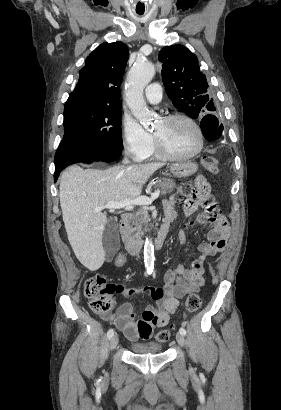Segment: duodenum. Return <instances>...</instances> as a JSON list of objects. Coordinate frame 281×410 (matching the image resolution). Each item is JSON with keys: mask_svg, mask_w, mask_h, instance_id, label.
<instances>
[{"mask_svg": "<svg viewBox=\"0 0 281 410\" xmlns=\"http://www.w3.org/2000/svg\"><path fill=\"white\" fill-rule=\"evenodd\" d=\"M131 217L130 213H124L120 217V231L122 239L126 250L131 255H137L143 249L146 242L143 239L131 236L127 231V224ZM169 226L167 224H162L158 230L157 237L155 240V246L161 247L167 240Z\"/></svg>", "mask_w": 281, "mask_h": 410, "instance_id": "1", "label": "duodenum"}]
</instances>
